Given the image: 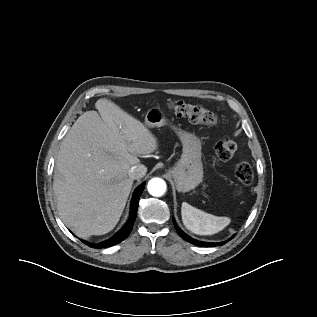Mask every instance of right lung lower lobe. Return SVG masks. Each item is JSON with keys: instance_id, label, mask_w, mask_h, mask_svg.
<instances>
[{"instance_id": "obj_1", "label": "right lung lower lobe", "mask_w": 317, "mask_h": 317, "mask_svg": "<svg viewBox=\"0 0 317 317\" xmlns=\"http://www.w3.org/2000/svg\"><path fill=\"white\" fill-rule=\"evenodd\" d=\"M144 185H145V183H142L135 190L133 197H132V201H131L130 217H129L127 223L123 226V228L119 232H117L112 238H110L102 243H99V244L88 243L87 241H84V240H81V241L84 244H86L92 248H107V247L116 245V244L120 243L121 241H123L124 239H126L132 230V227H133L136 215H137L139 198H140L141 193L144 189Z\"/></svg>"}]
</instances>
